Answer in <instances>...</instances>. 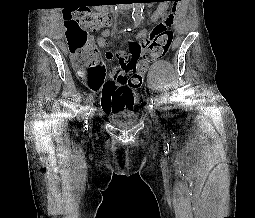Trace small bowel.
<instances>
[{"label":"small bowel","instance_id":"obj_1","mask_svg":"<svg viewBox=\"0 0 255 218\" xmlns=\"http://www.w3.org/2000/svg\"><path fill=\"white\" fill-rule=\"evenodd\" d=\"M166 11H167V5L165 4H162L160 5L155 11L154 13L152 14L151 16V21L152 22H157L160 17H162L163 15L166 14ZM111 36V33L109 30H104L102 31V33L99 35V37L97 38V46L99 48H104L108 45V42H109V38ZM118 54H122L123 57L121 60H119L120 62V68L116 71H120V72H123L124 71V68H125V65L128 61V57L125 55L124 52H119ZM102 101H103V95H102V98H101V105H102ZM103 108V107H102ZM104 109V108H103ZM105 110V109H104ZM106 111V110H105ZM107 112V111H106Z\"/></svg>","mask_w":255,"mask_h":218}]
</instances>
